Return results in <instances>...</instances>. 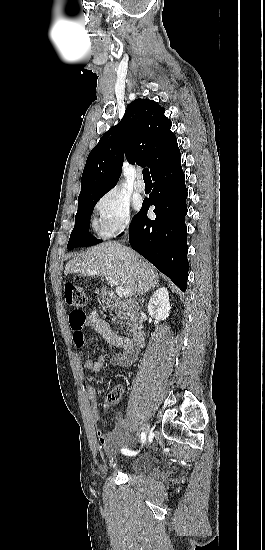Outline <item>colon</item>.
<instances>
[{"instance_id":"1","label":"colon","mask_w":265,"mask_h":550,"mask_svg":"<svg viewBox=\"0 0 265 550\" xmlns=\"http://www.w3.org/2000/svg\"><path fill=\"white\" fill-rule=\"evenodd\" d=\"M65 299L67 305L72 308V311L69 314V321L74 338L78 340L86 322L83 308L87 304L88 296L82 286L68 282L65 284ZM119 396L120 391L118 389H112L108 393L106 401L108 403H114L118 400Z\"/></svg>"}]
</instances>
